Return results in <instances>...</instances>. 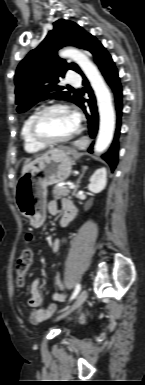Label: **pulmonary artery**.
I'll list each match as a JSON object with an SVG mask.
<instances>
[{
	"label": "pulmonary artery",
	"mask_w": 145,
	"mask_h": 385,
	"mask_svg": "<svg viewBox=\"0 0 145 385\" xmlns=\"http://www.w3.org/2000/svg\"><path fill=\"white\" fill-rule=\"evenodd\" d=\"M68 83L71 84V85H77L80 83L81 79L78 75L76 74H70L68 76Z\"/></svg>",
	"instance_id": "e3ab8cb5"
}]
</instances>
